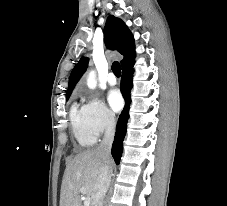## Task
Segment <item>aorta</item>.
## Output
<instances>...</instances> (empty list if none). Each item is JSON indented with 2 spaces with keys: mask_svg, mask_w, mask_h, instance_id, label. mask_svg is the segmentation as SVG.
<instances>
[{
  "mask_svg": "<svg viewBox=\"0 0 227 206\" xmlns=\"http://www.w3.org/2000/svg\"><path fill=\"white\" fill-rule=\"evenodd\" d=\"M87 86L90 89H94L97 86L96 73L91 71L87 77Z\"/></svg>",
  "mask_w": 227,
  "mask_h": 206,
  "instance_id": "762f6f07",
  "label": "aorta"
}]
</instances>
